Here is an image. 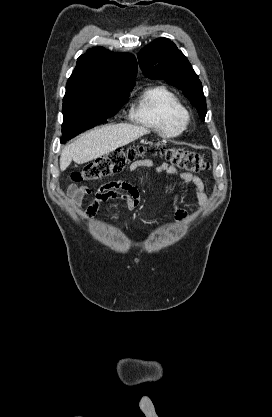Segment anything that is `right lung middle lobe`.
I'll list each match as a JSON object with an SVG mask.
<instances>
[{
    "mask_svg": "<svg viewBox=\"0 0 272 417\" xmlns=\"http://www.w3.org/2000/svg\"><path fill=\"white\" fill-rule=\"evenodd\" d=\"M131 90L104 92L86 98L63 101L64 121L61 143L114 116Z\"/></svg>",
    "mask_w": 272,
    "mask_h": 417,
    "instance_id": "obj_1",
    "label": "right lung middle lobe"
}]
</instances>
